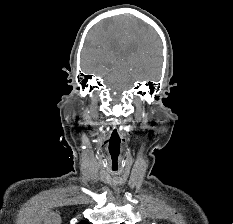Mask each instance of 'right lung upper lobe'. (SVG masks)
Returning a JSON list of instances; mask_svg holds the SVG:
<instances>
[{
	"label": "right lung upper lobe",
	"mask_w": 233,
	"mask_h": 224,
	"mask_svg": "<svg viewBox=\"0 0 233 224\" xmlns=\"http://www.w3.org/2000/svg\"><path fill=\"white\" fill-rule=\"evenodd\" d=\"M78 224H89V223L86 221H80Z\"/></svg>",
	"instance_id": "right-lung-upper-lobe-1"
}]
</instances>
